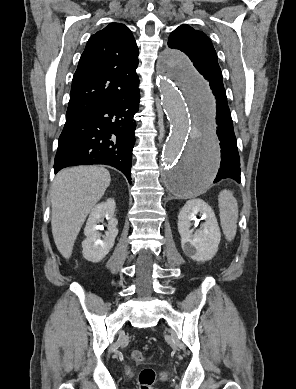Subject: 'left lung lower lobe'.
Instances as JSON below:
<instances>
[{
  "instance_id": "1",
  "label": "left lung lower lobe",
  "mask_w": 296,
  "mask_h": 389,
  "mask_svg": "<svg viewBox=\"0 0 296 389\" xmlns=\"http://www.w3.org/2000/svg\"><path fill=\"white\" fill-rule=\"evenodd\" d=\"M205 79L215 96L217 135L220 141L221 162L217 176L213 183L225 178H231L240 183V158L237 149L233 122L229 110L226 91L224 89L222 74L208 75ZM194 150L189 153L186 162L180 168V177L187 178L191 174V164L194 159Z\"/></svg>"
}]
</instances>
